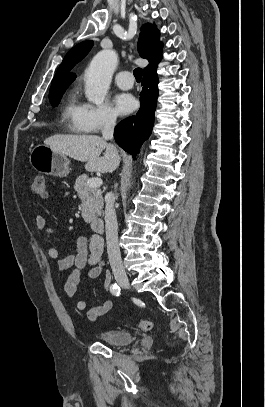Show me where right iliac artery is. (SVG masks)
<instances>
[{"label":"right iliac artery","instance_id":"obj_1","mask_svg":"<svg viewBox=\"0 0 265 407\" xmlns=\"http://www.w3.org/2000/svg\"><path fill=\"white\" fill-rule=\"evenodd\" d=\"M110 292H111L113 295H115V296H119V295H120V292H121V289H120V287L115 283V284L111 285V287H110Z\"/></svg>","mask_w":265,"mask_h":407}]
</instances>
